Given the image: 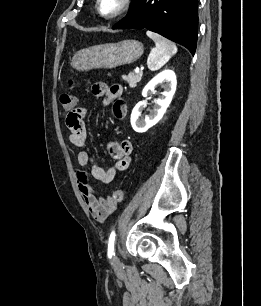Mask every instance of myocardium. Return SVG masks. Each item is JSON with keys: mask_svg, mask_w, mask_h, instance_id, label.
Returning a JSON list of instances; mask_svg holds the SVG:
<instances>
[{"mask_svg": "<svg viewBox=\"0 0 261 306\" xmlns=\"http://www.w3.org/2000/svg\"><path fill=\"white\" fill-rule=\"evenodd\" d=\"M101 1L102 0L95 1V9L97 13L104 19H115L117 17H120L121 15H123L125 12L129 10L130 6L132 5L133 0H120L118 8L110 14H106L102 12L101 7H100Z\"/></svg>", "mask_w": 261, "mask_h": 306, "instance_id": "f54148a6", "label": "myocardium"}]
</instances>
